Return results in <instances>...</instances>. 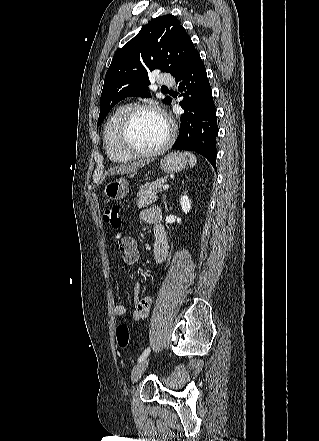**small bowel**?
I'll return each mask as SVG.
<instances>
[{
	"label": "small bowel",
	"instance_id": "1",
	"mask_svg": "<svg viewBox=\"0 0 319 441\" xmlns=\"http://www.w3.org/2000/svg\"><path fill=\"white\" fill-rule=\"evenodd\" d=\"M140 218L153 228L155 238L153 257L157 264H162L167 259L169 250L167 233L162 225V212L157 207L147 208L141 211ZM115 242L119 252L122 254L124 264L127 266L134 265L139 259V248L136 241L128 235H122L117 237ZM140 289L139 283L134 284L132 288L134 299L132 318L135 321H141L148 316L152 303L151 296H140ZM125 313L126 308L124 305L116 304L114 306V314L116 316L121 317Z\"/></svg>",
	"mask_w": 319,
	"mask_h": 441
}]
</instances>
